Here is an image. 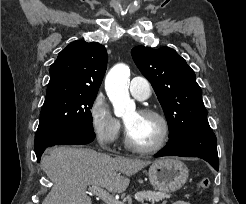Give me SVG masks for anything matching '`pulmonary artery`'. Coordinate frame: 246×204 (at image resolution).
Listing matches in <instances>:
<instances>
[{"label": "pulmonary artery", "mask_w": 246, "mask_h": 204, "mask_svg": "<svg viewBox=\"0 0 246 204\" xmlns=\"http://www.w3.org/2000/svg\"><path fill=\"white\" fill-rule=\"evenodd\" d=\"M130 93L138 100H145L151 94V86L147 79L143 77H134L130 82Z\"/></svg>", "instance_id": "pulmonary-artery-1"}]
</instances>
